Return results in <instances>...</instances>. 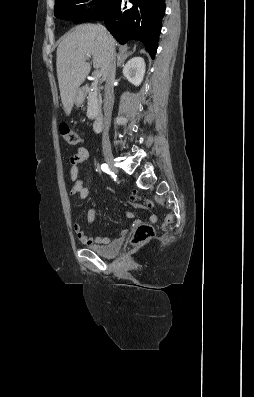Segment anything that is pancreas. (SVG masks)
Returning <instances> with one entry per match:
<instances>
[{
  "mask_svg": "<svg viewBox=\"0 0 254 397\" xmlns=\"http://www.w3.org/2000/svg\"><path fill=\"white\" fill-rule=\"evenodd\" d=\"M87 100V117L93 120L97 117L102 104L100 90L96 82L91 84V91L88 94Z\"/></svg>",
  "mask_w": 254,
  "mask_h": 397,
  "instance_id": "obj_1",
  "label": "pancreas"
}]
</instances>
